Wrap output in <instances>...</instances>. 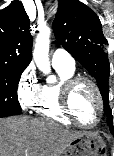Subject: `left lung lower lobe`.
I'll use <instances>...</instances> for the list:
<instances>
[{
  "label": "left lung lower lobe",
  "instance_id": "0a47b994",
  "mask_svg": "<svg viewBox=\"0 0 114 156\" xmlns=\"http://www.w3.org/2000/svg\"><path fill=\"white\" fill-rule=\"evenodd\" d=\"M111 133L114 135V130H112Z\"/></svg>",
  "mask_w": 114,
  "mask_h": 156
}]
</instances>
